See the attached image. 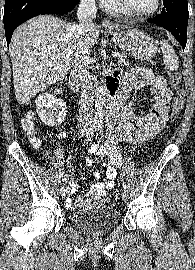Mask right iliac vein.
Instances as JSON below:
<instances>
[{"label":"right iliac vein","instance_id":"1","mask_svg":"<svg viewBox=\"0 0 195 270\" xmlns=\"http://www.w3.org/2000/svg\"><path fill=\"white\" fill-rule=\"evenodd\" d=\"M67 186L66 185H63L62 188H61V195L62 197H65L66 193H67Z\"/></svg>","mask_w":195,"mask_h":270}]
</instances>
